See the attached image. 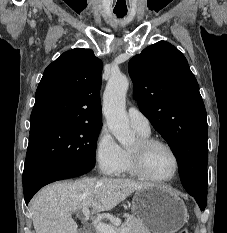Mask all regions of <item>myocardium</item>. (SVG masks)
Returning <instances> with one entry per match:
<instances>
[{"label": "myocardium", "instance_id": "1", "mask_svg": "<svg viewBox=\"0 0 227 233\" xmlns=\"http://www.w3.org/2000/svg\"><path fill=\"white\" fill-rule=\"evenodd\" d=\"M155 146H162L166 148L172 155L175 163V168L174 172L171 176L167 178H158L150 174L146 168L145 165V156L147 152L155 147ZM130 153V158H131V163L134 171L136 174L144 179L153 181V182H159V183H164V182H170L174 180L177 175L179 174L180 170V160L179 157L174 150V148L168 144L167 142L155 138H141L138 140V144L135 148H131L129 150Z\"/></svg>", "mask_w": 227, "mask_h": 233}]
</instances>
